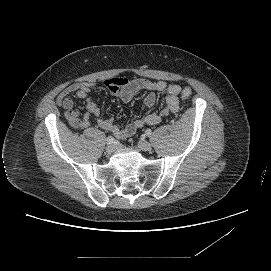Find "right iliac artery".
Returning <instances> with one entry per match:
<instances>
[{
	"mask_svg": "<svg viewBox=\"0 0 271 271\" xmlns=\"http://www.w3.org/2000/svg\"><path fill=\"white\" fill-rule=\"evenodd\" d=\"M106 142H107V144L109 145V144L114 143V142H115V139H114L113 136H109V137H107Z\"/></svg>",
	"mask_w": 271,
	"mask_h": 271,
	"instance_id": "obj_1",
	"label": "right iliac artery"
}]
</instances>
